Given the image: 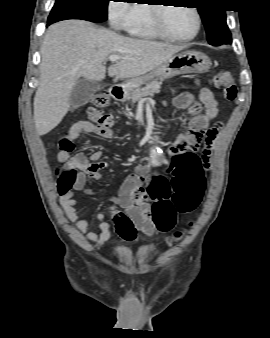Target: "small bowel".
I'll list each match as a JSON object with an SVG mask.
<instances>
[{
    "label": "small bowel",
    "mask_w": 270,
    "mask_h": 338,
    "mask_svg": "<svg viewBox=\"0 0 270 338\" xmlns=\"http://www.w3.org/2000/svg\"><path fill=\"white\" fill-rule=\"evenodd\" d=\"M172 102L177 108H188L189 112L194 115L195 118L189 125L186 135L183 138L184 141L179 145L172 146L170 149L173 159V162L168 165V168L171 169L170 176L159 175L158 177H154L147 173L141 165H137L134 172L128 176L123 183L119 195L109 198L125 210L130 222L135 228L148 236H152L157 229L160 231H169L176 221V214L173 216L172 223L168 227H162L152 222L148 216L135 205L134 194L144 187L153 186L159 194V202L171 203V200H168L166 195L171 192L172 186L175 183L187 185L194 173L202 169V163L194 152L196 145L192 139V134L198 128L205 127L218 113L217 101L212 91L205 87L199 90L198 100H193V96L188 92H181L173 98ZM217 132L218 129L214 128L209 134L207 141L208 148L213 146ZM83 133L95 134L103 138H112L113 136V132L110 128L89 121H79L69 129L60 143L65 139L70 143L75 142ZM102 154L101 150L93 151L88 157L83 152H78L70 156V152L61 150L58 154L59 160H67V164L75 166L81 171L71 188L60 191V204L68 220L85 235L88 241L95 243L98 248L105 247L111 239V224L105 220L104 214L99 212L96 215V219L99 223V234L87 232L89 221L86 217L79 218L76 211L74 195L78 191H84L87 195H93V191L87 189L86 184L101 178L100 171L106 166V162L101 160ZM112 215H115V212H112ZM115 227L123 240L127 242L135 240L136 235L134 231L131 232L126 226H120L117 223H115Z\"/></svg>",
    "instance_id": "obj_1"
}]
</instances>
